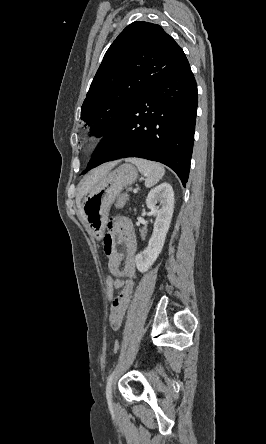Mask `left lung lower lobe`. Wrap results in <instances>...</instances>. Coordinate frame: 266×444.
Here are the masks:
<instances>
[{
    "mask_svg": "<svg viewBox=\"0 0 266 444\" xmlns=\"http://www.w3.org/2000/svg\"><path fill=\"white\" fill-rule=\"evenodd\" d=\"M197 85L185 57L99 143L84 172L110 160L140 157L174 170L185 186L197 112Z\"/></svg>",
    "mask_w": 266,
    "mask_h": 444,
    "instance_id": "obj_1",
    "label": "left lung lower lobe"
}]
</instances>
